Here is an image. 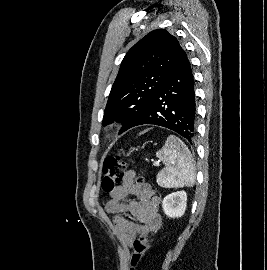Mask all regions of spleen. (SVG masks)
Here are the masks:
<instances>
[{"mask_svg":"<svg viewBox=\"0 0 267 270\" xmlns=\"http://www.w3.org/2000/svg\"><path fill=\"white\" fill-rule=\"evenodd\" d=\"M156 156L165 164V168L158 175V184L163 187L194 185L195 164L190 150L178 137L168 136L165 145Z\"/></svg>","mask_w":267,"mask_h":270,"instance_id":"1","label":"spleen"}]
</instances>
